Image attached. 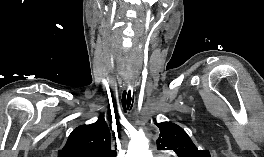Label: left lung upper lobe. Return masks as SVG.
<instances>
[{
    "mask_svg": "<svg viewBox=\"0 0 264 157\" xmlns=\"http://www.w3.org/2000/svg\"><path fill=\"white\" fill-rule=\"evenodd\" d=\"M160 129L159 150H173L178 157H210L208 150H198L187 133L171 122L155 123Z\"/></svg>",
    "mask_w": 264,
    "mask_h": 157,
    "instance_id": "1",
    "label": "left lung upper lobe"
}]
</instances>
